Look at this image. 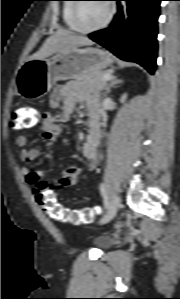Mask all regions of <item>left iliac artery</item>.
<instances>
[{"mask_svg":"<svg viewBox=\"0 0 180 299\" xmlns=\"http://www.w3.org/2000/svg\"><path fill=\"white\" fill-rule=\"evenodd\" d=\"M100 191L102 193L103 199H104V207L105 209H108L109 207V200L105 191V187L104 184H100Z\"/></svg>","mask_w":180,"mask_h":299,"instance_id":"left-iliac-artery-1","label":"left iliac artery"}]
</instances>
